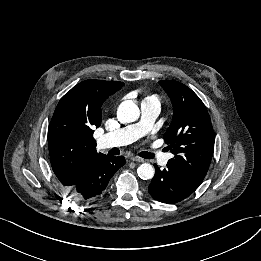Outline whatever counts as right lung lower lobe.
I'll use <instances>...</instances> for the list:
<instances>
[{"label":"right lung lower lobe","instance_id":"right-lung-lower-lobe-1","mask_svg":"<svg viewBox=\"0 0 261 261\" xmlns=\"http://www.w3.org/2000/svg\"><path fill=\"white\" fill-rule=\"evenodd\" d=\"M125 164L123 156L99 154L94 157L79 180L68 189L78 200H92L99 197L110 178Z\"/></svg>","mask_w":261,"mask_h":261}]
</instances>
